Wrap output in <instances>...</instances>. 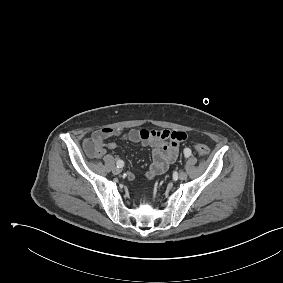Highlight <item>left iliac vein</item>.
<instances>
[{
	"label": "left iliac vein",
	"mask_w": 283,
	"mask_h": 283,
	"mask_svg": "<svg viewBox=\"0 0 283 283\" xmlns=\"http://www.w3.org/2000/svg\"><path fill=\"white\" fill-rule=\"evenodd\" d=\"M179 180H186L187 179V173L186 172H180L178 176Z\"/></svg>",
	"instance_id": "4c4485c4"
}]
</instances>
